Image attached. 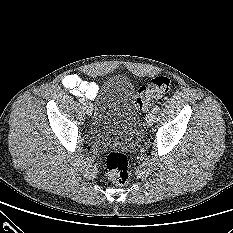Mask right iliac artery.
<instances>
[{"label": "right iliac artery", "instance_id": "right-iliac-artery-1", "mask_svg": "<svg viewBox=\"0 0 233 233\" xmlns=\"http://www.w3.org/2000/svg\"><path fill=\"white\" fill-rule=\"evenodd\" d=\"M84 102H85V100H84L83 98H80V99H79V103H80V104H84Z\"/></svg>", "mask_w": 233, "mask_h": 233}]
</instances>
